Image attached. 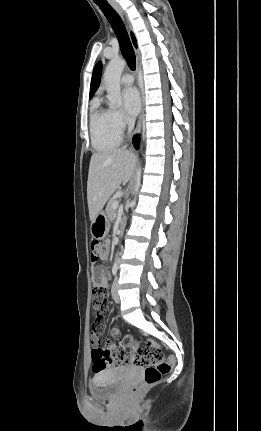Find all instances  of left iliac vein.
<instances>
[{
  "label": "left iliac vein",
  "mask_w": 261,
  "mask_h": 431,
  "mask_svg": "<svg viewBox=\"0 0 261 431\" xmlns=\"http://www.w3.org/2000/svg\"><path fill=\"white\" fill-rule=\"evenodd\" d=\"M118 289H119V283H118V278L116 277V279L112 285V297L116 303H120V297L118 294Z\"/></svg>",
  "instance_id": "obj_1"
}]
</instances>
